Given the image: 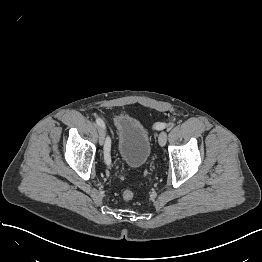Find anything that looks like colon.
Here are the masks:
<instances>
[{"label":"colon","instance_id":"1","mask_svg":"<svg viewBox=\"0 0 262 262\" xmlns=\"http://www.w3.org/2000/svg\"><path fill=\"white\" fill-rule=\"evenodd\" d=\"M134 197V193L131 190H125L122 193V198L126 201L132 200Z\"/></svg>","mask_w":262,"mask_h":262}]
</instances>
